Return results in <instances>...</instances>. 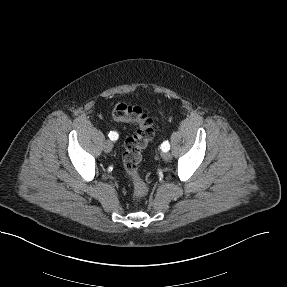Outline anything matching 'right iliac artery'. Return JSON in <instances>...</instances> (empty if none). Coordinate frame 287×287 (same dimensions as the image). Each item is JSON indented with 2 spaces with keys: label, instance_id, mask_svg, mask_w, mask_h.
<instances>
[{
  "label": "right iliac artery",
  "instance_id": "82829eb1",
  "mask_svg": "<svg viewBox=\"0 0 287 287\" xmlns=\"http://www.w3.org/2000/svg\"><path fill=\"white\" fill-rule=\"evenodd\" d=\"M109 138H110L112 141H115V140L118 139V134H117L116 132H114V131H111V132L109 133Z\"/></svg>",
  "mask_w": 287,
  "mask_h": 287
}]
</instances>
